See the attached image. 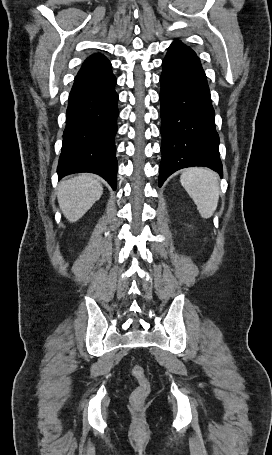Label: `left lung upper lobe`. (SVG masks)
<instances>
[{"label": "left lung upper lobe", "mask_w": 272, "mask_h": 455, "mask_svg": "<svg viewBox=\"0 0 272 455\" xmlns=\"http://www.w3.org/2000/svg\"><path fill=\"white\" fill-rule=\"evenodd\" d=\"M188 56L197 57L190 47L184 45L181 41L176 40L170 45L165 58L179 59Z\"/></svg>", "instance_id": "1"}]
</instances>
